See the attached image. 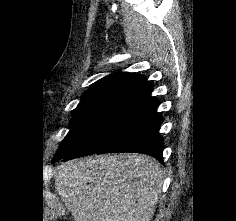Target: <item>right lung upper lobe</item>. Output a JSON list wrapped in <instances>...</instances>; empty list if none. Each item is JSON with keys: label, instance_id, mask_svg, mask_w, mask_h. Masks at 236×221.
<instances>
[{"label": "right lung upper lobe", "instance_id": "cb5924a9", "mask_svg": "<svg viewBox=\"0 0 236 221\" xmlns=\"http://www.w3.org/2000/svg\"><path fill=\"white\" fill-rule=\"evenodd\" d=\"M150 87H152V84L148 82L143 75L129 72H116L92 84L83 96L118 92L137 95Z\"/></svg>", "mask_w": 236, "mask_h": 221}]
</instances>
